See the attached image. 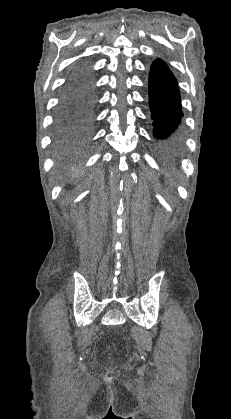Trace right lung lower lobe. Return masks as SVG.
<instances>
[{
    "label": "right lung lower lobe",
    "mask_w": 231,
    "mask_h": 419,
    "mask_svg": "<svg viewBox=\"0 0 231 419\" xmlns=\"http://www.w3.org/2000/svg\"><path fill=\"white\" fill-rule=\"evenodd\" d=\"M95 92L91 84L76 71L68 79L59 102L56 137L81 146L89 139L93 128Z\"/></svg>",
    "instance_id": "obj_1"
}]
</instances>
